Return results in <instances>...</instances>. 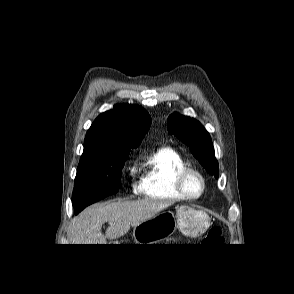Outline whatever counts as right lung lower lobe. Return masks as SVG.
<instances>
[{"mask_svg":"<svg viewBox=\"0 0 294 294\" xmlns=\"http://www.w3.org/2000/svg\"><path fill=\"white\" fill-rule=\"evenodd\" d=\"M82 209H75V213L78 214Z\"/></svg>","mask_w":294,"mask_h":294,"instance_id":"98d812e1","label":"right lung lower lobe"}]
</instances>
